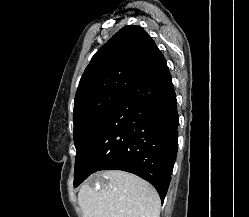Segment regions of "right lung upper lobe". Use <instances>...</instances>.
Listing matches in <instances>:
<instances>
[{"label": "right lung upper lobe", "mask_w": 249, "mask_h": 217, "mask_svg": "<svg viewBox=\"0 0 249 217\" xmlns=\"http://www.w3.org/2000/svg\"><path fill=\"white\" fill-rule=\"evenodd\" d=\"M163 58L142 27H123L92 57L80 79L74 107L107 92L127 93Z\"/></svg>", "instance_id": "cb5924a9"}]
</instances>
